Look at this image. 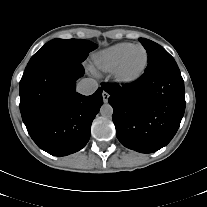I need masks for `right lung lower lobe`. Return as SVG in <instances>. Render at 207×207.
I'll use <instances>...</instances> for the list:
<instances>
[{"instance_id":"obj_1","label":"right lung lower lobe","mask_w":207,"mask_h":207,"mask_svg":"<svg viewBox=\"0 0 207 207\" xmlns=\"http://www.w3.org/2000/svg\"><path fill=\"white\" fill-rule=\"evenodd\" d=\"M84 74L80 62L45 60L25 69L20 81V112L39 148L54 156L81 150L90 138L91 124L103 104L102 88L90 96L76 92Z\"/></svg>"}]
</instances>
